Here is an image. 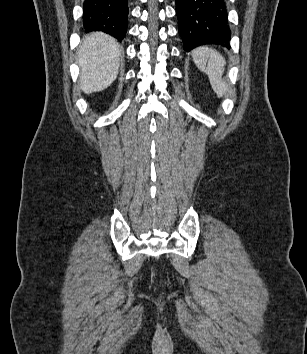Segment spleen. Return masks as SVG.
I'll use <instances>...</instances> for the list:
<instances>
[{"label": "spleen", "mask_w": 307, "mask_h": 354, "mask_svg": "<svg viewBox=\"0 0 307 354\" xmlns=\"http://www.w3.org/2000/svg\"><path fill=\"white\" fill-rule=\"evenodd\" d=\"M194 63L209 77L212 89L218 97L225 95L227 84L222 80L225 59L216 50L208 47H199L192 52Z\"/></svg>", "instance_id": "obj_1"}]
</instances>
